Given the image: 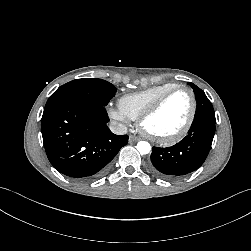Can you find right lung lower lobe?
<instances>
[{"label":"right lung lower lobe","instance_id":"98d812e1","mask_svg":"<svg viewBox=\"0 0 251 251\" xmlns=\"http://www.w3.org/2000/svg\"><path fill=\"white\" fill-rule=\"evenodd\" d=\"M105 106L83 100L46 105L41 119L45 151L62 174L79 181L103 175L109 162L128 142L107 127Z\"/></svg>","mask_w":251,"mask_h":251}]
</instances>
